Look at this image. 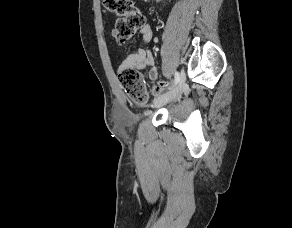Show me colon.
I'll return each mask as SVG.
<instances>
[{
    "label": "colon",
    "mask_w": 292,
    "mask_h": 228,
    "mask_svg": "<svg viewBox=\"0 0 292 228\" xmlns=\"http://www.w3.org/2000/svg\"><path fill=\"white\" fill-rule=\"evenodd\" d=\"M105 8L117 16L113 28V36L119 44L126 43L135 32L145 25L143 14L133 5L131 0H103ZM119 81L127 96L138 104L147 100V91L142 74L134 68L120 71Z\"/></svg>",
    "instance_id": "obj_1"
}]
</instances>
